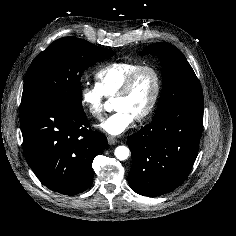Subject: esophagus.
<instances>
[{"instance_id":"esophagus-1","label":"esophagus","mask_w":236,"mask_h":236,"mask_svg":"<svg viewBox=\"0 0 236 236\" xmlns=\"http://www.w3.org/2000/svg\"><path fill=\"white\" fill-rule=\"evenodd\" d=\"M107 139H108V143H109L110 145H114V144L117 143V140H116V138H114V137L109 136Z\"/></svg>"}]
</instances>
